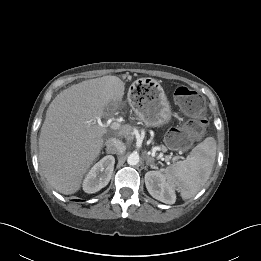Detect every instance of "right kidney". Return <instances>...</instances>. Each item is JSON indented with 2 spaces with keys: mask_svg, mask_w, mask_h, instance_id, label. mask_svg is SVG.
<instances>
[{
  "mask_svg": "<svg viewBox=\"0 0 261 261\" xmlns=\"http://www.w3.org/2000/svg\"><path fill=\"white\" fill-rule=\"evenodd\" d=\"M114 164L115 158L112 155L103 157L88 172L83 181V190L92 194L104 188L111 179Z\"/></svg>",
  "mask_w": 261,
  "mask_h": 261,
  "instance_id": "obj_1",
  "label": "right kidney"
}]
</instances>
